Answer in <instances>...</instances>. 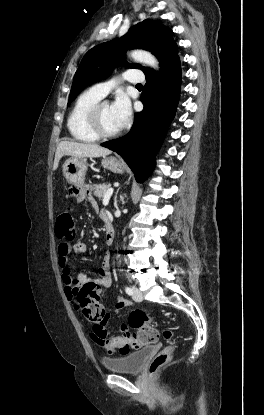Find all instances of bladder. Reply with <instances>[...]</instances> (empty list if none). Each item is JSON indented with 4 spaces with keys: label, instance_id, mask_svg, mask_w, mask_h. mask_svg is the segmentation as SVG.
I'll return each instance as SVG.
<instances>
[{
    "label": "bladder",
    "instance_id": "1",
    "mask_svg": "<svg viewBox=\"0 0 264 415\" xmlns=\"http://www.w3.org/2000/svg\"><path fill=\"white\" fill-rule=\"evenodd\" d=\"M155 350L156 345H149L118 358H104L102 363L111 372L139 373Z\"/></svg>",
    "mask_w": 264,
    "mask_h": 415
}]
</instances>
